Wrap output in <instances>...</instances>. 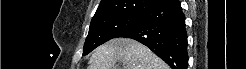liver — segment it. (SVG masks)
<instances>
[{
  "mask_svg": "<svg viewBox=\"0 0 246 69\" xmlns=\"http://www.w3.org/2000/svg\"><path fill=\"white\" fill-rule=\"evenodd\" d=\"M117 62L123 63V69H168L148 47L127 38H115L96 48L88 69H115Z\"/></svg>",
  "mask_w": 246,
  "mask_h": 69,
  "instance_id": "obj_1",
  "label": "liver"
}]
</instances>
